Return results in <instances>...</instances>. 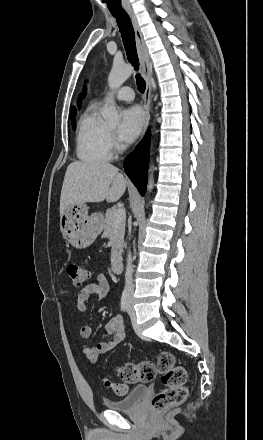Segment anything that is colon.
I'll use <instances>...</instances> for the list:
<instances>
[{
	"label": "colon",
	"instance_id": "1",
	"mask_svg": "<svg viewBox=\"0 0 263 440\" xmlns=\"http://www.w3.org/2000/svg\"><path fill=\"white\" fill-rule=\"evenodd\" d=\"M66 271L74 286H81L89 278V270L83 264L70 263ZM115 373L129 384L151 382L157 374H160L164 388L151 401V409L155 413L178 406L186 400L187 372L183 366L176 363L170 352H160L156 364L151 361L121 364L116 368ZM103 384L118 395H124L127 392L125 384L110 379H104Z\"/></svg>",
	"mask_w": 263,
	"mask_h": 440
}]
</instances>
